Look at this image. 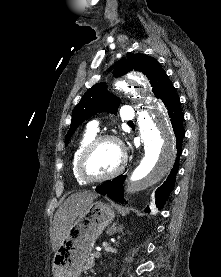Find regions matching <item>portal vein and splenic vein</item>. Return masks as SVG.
Masks as SVG:
<instances>
[{
	"mask_svg": "<svg viewBox=\"0 0 221 277\" xmlns=\"http://www.w3.org/2000/svg\"><path fill=\"white\" fill-rule=\"evenodd\" d=\"M95 255L96 256H100V253L97 251V252H95Z\"/></svg>",
	"mask_w": 221,
	"mask_h": 277,
	"instance_id": "portal-vein-and-splenic-vein-1",
	"label": "portal vein and splenic vein"
}]
</instances>
